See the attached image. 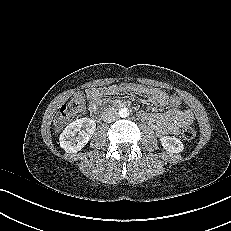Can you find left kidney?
I'll use <instances>...</instances> for the list:
<instances>
[{"instance_id":"obj_1","label":"left kidney","mask_w":231,"mask_h":231,"mask_svg":"<svg viewBox=\"0 0 231 231\" xmlns=\"http://www.w3.org/2000/svg\"><path fill=\"white\" fill-rule=\"evenodd\" d=\"M160 142L163 148L171 153H179L184 149L182 142L174 136H163Z\"/></svg>"}]
</instances>
